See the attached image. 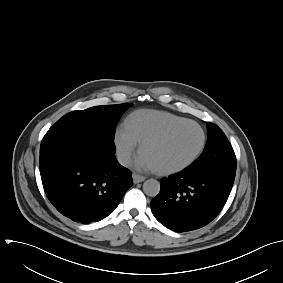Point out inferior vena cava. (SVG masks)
I'll use <instances>...</instances> for the list:
<instances>
[{
  "mask_svg": "<svg viewBox=\"0 0 283 283\" xmlns=\"http://www.w3.org/2000/svg\"><path fill=\"white\" fill-rule=\"evenodd\" d=\"M117 159H118L119 163L123 166L129 165L130 162H131L130 155L128 153L117 154Z\"/></svg>",
  "mask_w": 283,
  "mask_h": 283,
  "instance_id": "1",
  "label": "inferior vena cava"
}]
</instances>
